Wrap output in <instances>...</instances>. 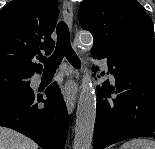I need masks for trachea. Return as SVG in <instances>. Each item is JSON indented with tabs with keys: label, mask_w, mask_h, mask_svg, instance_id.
I'll list each match as a JSON object with an SVG mask.
<instances>
[{
	"label": "trachea",
	"mask_w": 155,
	"mask_h": 149,
	"mask_svg": "<svg viewBox=\"0 0 155 149\" xmlns=\"http://www.w3.org/2000/svg\"><path fill=\"white\" fill-rule=\"evenodd\" d=\"M64 56L75 68H80L81 61L71 48L68 26L64 21H60L57 26V45L53 55L49 58L40 57L39 61L44 63V70H56Z\"/></svg>",
	"instance_id": "trachea-1"
}]
</instances>
